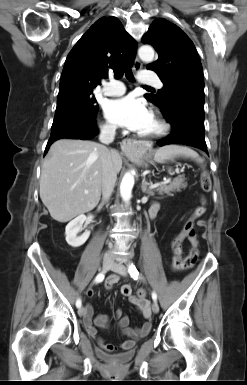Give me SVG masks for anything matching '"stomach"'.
Here are the masks:
<instances>
[{"label":"stomach","instance_id":"0dacf381","mask_svg":"<svg viewBox=\"0 0 247 385\" xmlns=\"http://www.w3.org/2000/svg\"><path fill=\"white\" fill-rule=\"evenodd\" d=\"M130 159L133 161V162H135V163H137V164H139V165H143V164H145V155H144V153H141V152H135V153H132L131 155H130Z\"/></svg>","mask_w":247,"mask_h":385}]
</instances>
